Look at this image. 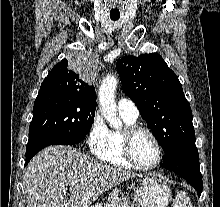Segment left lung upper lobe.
<instances>
[{"label":"left lung upper lobe","instance_id":"5c2ea615","mask_svg":"<svg viewBox=\"0 0 220 207\" xmlns=\"http://www.w3.org/2000/svg\"><path fill=\"white\" fill-rule=\"evenodd\" d=\"M116 67L124 93L165 153L195 140L190 104L178 77L159 54L125 56Z\"/></svg>","mask_w":220,"mask_h":207}]
</instances>
